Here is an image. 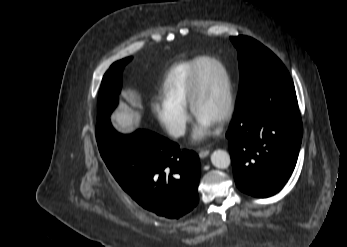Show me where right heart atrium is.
Returning a JSON list of instances; mask_svg holds the SVG:
<instances>
[{
	"label": "right heart atrium",
	"mask_w": 347,
	"mask_h": 247,
	"mask_svg": "<svg viewBox=\"0 0 347 247\" xmlns=\"http://www.w3.org/2000/svg\"><path fill=\"white\" fill-rule=\"evenodd\" d=\"M153 110L159 123L172 137L179 138L186 133L190 114L185 106L162 99L153 104Z\"/></svg>",
	"instance_id": "d8ad5b80"
}]
</instances>
